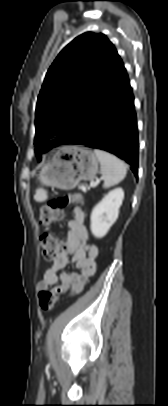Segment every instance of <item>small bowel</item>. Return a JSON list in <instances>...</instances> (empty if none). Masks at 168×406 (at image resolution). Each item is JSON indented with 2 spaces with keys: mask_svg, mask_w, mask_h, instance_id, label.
Listing matches in <instances>:
<instances>
[{
  "mask_svg": "<svg viewBox=\"0 0 168 406\" xmlns=\"http://www.w3.org/2000/svg\"><path fill=\"white\" fill-rule=\"evenodd\" d=\"M74 218L67 224L68 233L62 243V249L52 259L41 281L38 290H46L52 286L55 293L72 295L80 293L88 280L95 274L98 246L90 242L88 230L84 223V212L76 207ZM72 265L76 270L65 272L63 269ZM58 286H55L58 284Z\"/></svg>",
  "mask_w": 168,
  "mask_h": 406,
  "instance_id": "1",
  "label": "small bowel"
}]
</instances>
